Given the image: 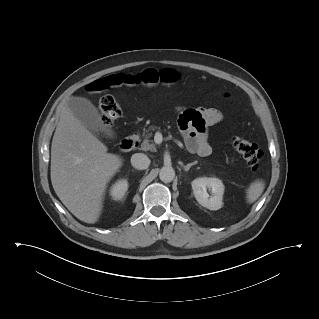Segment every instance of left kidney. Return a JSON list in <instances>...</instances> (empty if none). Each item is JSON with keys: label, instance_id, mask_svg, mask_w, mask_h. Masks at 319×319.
<instances>
[{"label": "left kidney", "instance_id": "left-kidney-1", "mask_svg": "<svg viewBox=\"0 0 319 319\" xmlns=\"http://www.w3.org/2000/svg\"><path fill=\"white\" fill-rule=\"evenodd\" d=\"M194 196L199 204L209 210H218L222 207L224 185L218 178L200 177L191 183ZM207 189L211 190V196Z\"/></svg>", "mask_w": 319, "mask_h": 319}]
</instances>
